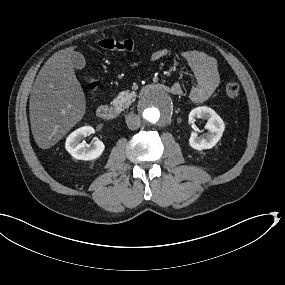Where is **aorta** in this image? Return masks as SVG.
<instances>
[{
	"label": "aorta",
	"mask_w": 285,
	"mask_h": 285,
	"mask_svg": "<svg viewBox=\"0 0 285 285\" xmlns=\"http://www.w3.org/2000/svg\"><path fill=\"white\" fill-rule=\"evenodd\" d=\"M140 113L147 123L153 126H164L174 119L177 113V102L170 92L164 89H153L143 96L140 102Z\"/></svg>",
	"instance_id": "1"
}]
</instances>
